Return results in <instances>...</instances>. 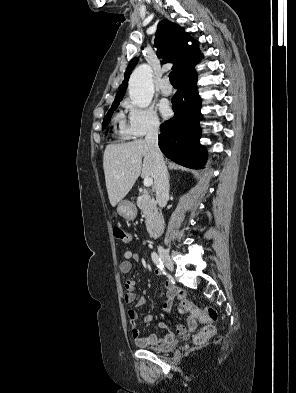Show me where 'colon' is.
I'll list each match as a JSON object with an SVG mask.
<instances>
[{
    "mask_svg": "<svg viewBox=\"0 0 296 393\" xmlns=\"http://www.w3.org/2000/svg\"><path fill=\"white\" fill-rule=\"evenodd\" d=\"M113 234L116 239L123 243H129L131 241L130 233L121 227H115L113 229ZM180 309L189 312L191 316L199 321L211 322L217 319V312L214 308L205 307L204 309H198L187 299L180 300ZM215 331L216 329L213 325L204 327L194 336V343L196 345L205 344L215 334Z\"/></svg>",
    "mask_w": 296,
    "mask_h": 393,
    "instance_id": "1",
    "label": "colon"
}]
</instances>
